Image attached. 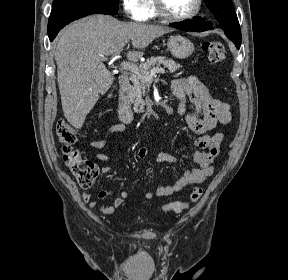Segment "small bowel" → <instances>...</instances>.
<instances>
[{
    "instance_id": "1",
    "label": "small bowel",
    "mask_w": 288,
    "mask_h": 280,
    "mask_svg": "<svg viewBox=\"0 0 288 280\" xmlns=\"http://www.w3.org/2000/svg\"><path fill=\"white\" fill-rule=\"evenodd\" d=\"M171 90L177 99L176 113L183 114L185 112L187 99L193 105L192 109L186 114L185 127L197 136L194 141L195 151L193 153L195 167L185 171L173 184L160 185L153 190L145 191L144 197L146 199L170 196L188 186L202 183L211 176L214 170V161L220 152L223 134L217 132L210 135L209 131L215 128L217 124H228L232 119L230 105L213 97L207 87L195 76L190 75L174 80L171 84ZM124 129V125L115 124L101 139L92 141L90 146L95 149H102L112 133ZM147 154L148 151L145 147L137 149L136 155L138 158L144 159ZM95 156L104 163L101 172L103 174L110 173L112 159L101 152H97ZM176 160L175 156L166 152H159L157 155V161L160 163H174ZM112 194L113 191H102L98 194V198L104 199ZM128 196V191L122 190L119 196L114 198L112 204L106 206L92 200L91 195L86 192L83 193V200L89 204L91 209L103 214H111L123 205Z\"/></svg>"
}]
</instances>
